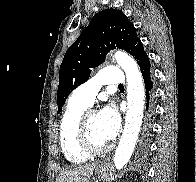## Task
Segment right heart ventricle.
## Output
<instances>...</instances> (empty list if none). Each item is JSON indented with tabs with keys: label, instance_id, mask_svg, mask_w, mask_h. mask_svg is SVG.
Returning a JSON list of instances; mask_svg holds the SVG:
<instances>
[{
	"label": "right heart ventricle",
	"instance_id": "1",
	"mask_svg": "<svg viewBox=\"0 0 196 182\" xmlns=\"http://www.w3.org/2000/svg\"><path fill=\"white\" fill-rule=\"evenodd\" d=\"M86 108L87 106L71 98L59 123L58 135L62 152L66 160L75 165L88 159V155L81 152L75 142L76 124Z\"/></svg>",
	"mask_w": 196,
	"mask_h": 182
}]
</instances>
